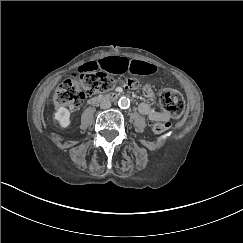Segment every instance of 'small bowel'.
Masks as SVG:
<instances>
[{
    "label": "small bowel",
    "instance_id": "small-bowel-1",
    "mask_svg": "<svg viewBox=\"0 0 243 243\" xmlns=\"http://www.w3.org/2000/svg\"><path fill=\"white\" fill-rule=\"evenodd\" d=\"M78 71L79 73L106 71L112 74L130 72L137 75H150L156 72V67L148 62L113 56L84 63L78 68ZM143 96L147 101H152L155 98V94L150 87L144 88ZM139 111L146 115L151 121H160L165 119L163 112L156 110L148 102H142L139 105Z\"/></svg>",
    "mask_w": 243,
    "mask_h": 243
}]
</instances>
